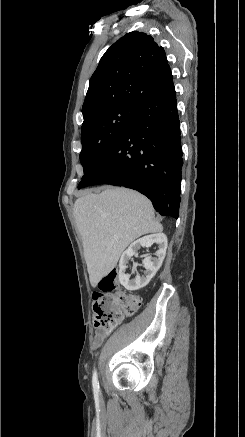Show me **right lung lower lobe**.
I'll use <instances>...</instances> for the list:
<instances>
[{
	"label": "right lung lower lobe",
	"mask_w": 245,
	"mask_h": 437,
	"mask_svg": "<svg viewBox=\"0 0 245 437\" xmlns=\"http://www.w3.org/2000/svg\"><path fill=\"white\" fill-rule=\"evenodd\" d=\"M175 91L145 100L111 152L83 180L80 188L111 184L147 196L157 212L179 215L183 165Z\"/></svg>",
	"instance_id": "1"
}]
</instances>
